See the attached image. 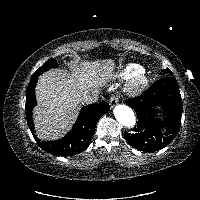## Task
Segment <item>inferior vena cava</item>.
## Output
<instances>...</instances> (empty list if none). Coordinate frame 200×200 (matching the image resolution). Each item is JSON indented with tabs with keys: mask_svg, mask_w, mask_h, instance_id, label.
Segmentation results:
<instances>
[{
	"mask_svg": "<svg viewBox=\"0 0 200 200\" xmlns=\"http://www.w3.org/2000/svg\"><path fill=\"white\" fill-rule=\"evenodd\" d=\"M98 98H99V92L97 90L91 92L86 91L81 96V101L85 104H92L96 103L98 101Z\"/></svg>",
	"mask_w": 200,
	"mask_h": 200,
	"instance_id": "inferior-vena-cava-1",
	"label": "inferior vena cava"
}]
</instances>
